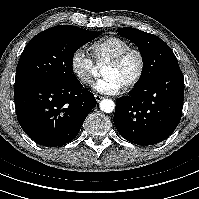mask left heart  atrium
Returning a JSON list of instances; mask_svg holds the SVG:
<instances>
[{
    "label": "left heart atrium",
    "instance_id": "1",
    "mask_svg": "<svg viewBox=\"0 0 199 199\" xmlns=\"http://www.w3.org/2000/svg\"><path fill=\"white\" fill-rule=\"evenodd\" d=\"M123 85L114 77H105L93 84V89L102 94H116Z\"/></svg>",
    "mask_w": 199,
    "mask_h": 199
}]
</instances>
